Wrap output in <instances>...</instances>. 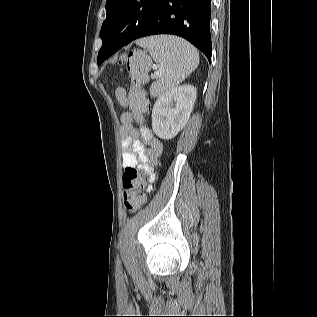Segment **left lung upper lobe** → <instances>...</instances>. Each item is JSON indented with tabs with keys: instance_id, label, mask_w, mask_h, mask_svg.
Returning <instances> with one entry per match:
<instances>
[{
	"instance_id": "left-lung-upper-lobe-1",
	"label": "left lung upper lobe",
	"mask_w": 317,
	"mask_h": 317,
	"mask_svg": "<svg viewBox=\"0 0 317 317\" xmlns=\"http://www.w3.org/2000/svg\"><path fill=\"white\" fill-rule=\"evenodd\" d=\"M162 0H107L106 19L101 28L103 43L112 41L124 45L137 36L154 14ZM103 45L98 53V65L104 58Z\"/></svg>"
}]
</instances>
